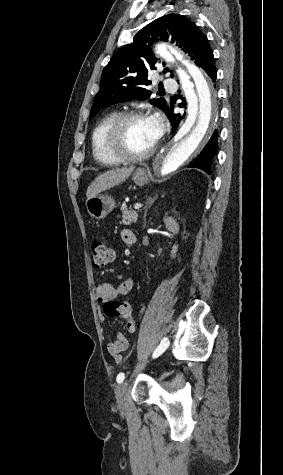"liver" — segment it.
Masks as SVG:
<instances>
[{"mask_svg":"<svg viewBox=\"0 0 283 475\" xmlns=\"http://www.w3.org/2000/svg\"><path fill=\"white\" fill-rule=\"evenodd\" d=\"M133 170L134 168H115V170L104 172V174L98 176L94 182H91L86 192L87 198H95V196H99L101 192L110 190L113 186H118V184H121V182L129 178Z\"/></svg>","mask_w":283,"mask_h":475,"instance_id":"1","label":"liver"}]
</instances>
